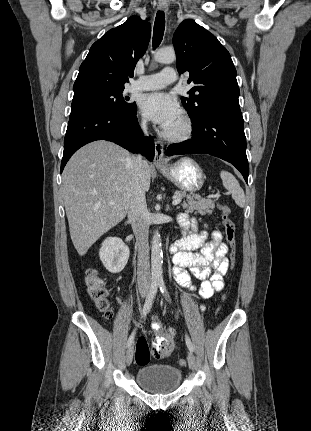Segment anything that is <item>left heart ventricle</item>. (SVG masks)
<instances>
[{
    "instance_id": "b2bd125f",
    "label": "left heart ventricle",
    "mask_w": 311,
    "mask_h": 431,
    "mask_svg": "<svg viewBox=\"0 0 311 431\" xmlns=\"http://www.w3.org/2000/svg\"><path fill=\"white\" fill-rule=\"evenodd\" d=\"M182 128H183V123L181 121V118H179L178 121L172 127H170L166 132L167 133H178L182 130Z\"/></svg>"
}]
</instances>
